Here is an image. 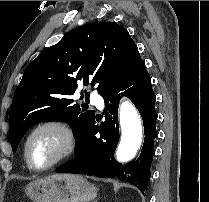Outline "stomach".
I'll return each instance as SVG.
<instances>
[{
  "instance_id": "0dacf381",
  "label": "stomach",
  "mask_w": 209,
  "mask_h": 202,
  "mask_svg": "<svg viewBox=\"0 0 209 202\" xmlns=\"http://www.w3.org/2000/svg\"><path fill=\"white\" fill-rule=\"evenodd\" d=\"M25 194L33 202H89L96 187L76 174H53L30 182Z\"/></svg>"
}]
</instances>
